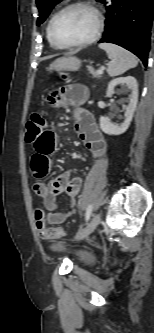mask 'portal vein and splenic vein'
<instances>
[{
  "instance_id": "18ae733b",
  "label": "portal vein and splenic vein",
  "mask_w": 154,
  "mask_h": 333,
  "mask_svg": "<svg viewBox=\"0 0 154 333\" xmlns=\"http://www.w3.org/2000/svg\"><path fill=\"white\" fill-rule=\"evenodd\" d=\"M104 67L102 66V67H100V69L98 70V72L100 73V74H102L103 73V71H104Z\"/></svg>"
}]
</instances>
